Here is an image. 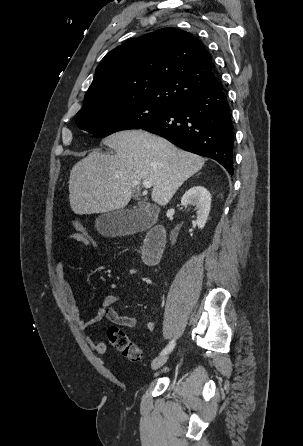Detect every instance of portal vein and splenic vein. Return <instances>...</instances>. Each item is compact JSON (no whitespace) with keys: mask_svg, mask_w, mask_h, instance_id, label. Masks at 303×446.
I'll return each instance as SVG.
<instances>
[{"mask_svg":"<svg viewBox=\"0 0 303 446\" xmlns=\"http://www.w3.org/2000/svg\"><path fill=\"white\" fill-rule=\"evenodd\" d=\"M142 184L146 189L151 188L153 185L151 180H144ZM134 185H139V182H134Z\"/></svg>","mask_w":303,"mask_h":446,"instance_id":"18ae733b","label":"portal vein and splenic vein"}]
</instances>
